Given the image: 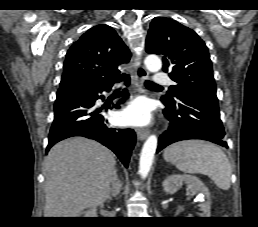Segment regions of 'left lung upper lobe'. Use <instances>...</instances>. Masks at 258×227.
<instances>
[{
	"label": "left lung upper lobe",
	"instance_id": "1",
	"mask_svg": "<svg viewBox=\"0 0 258 227\" xmlns=\"http://www.w3.org/2000/svg\"><path fill=\"white\" fill-rule=\"evenodd\" d=\"M146 51L163 56V71L176 83L162 100L175 102L174 97L191 91L216 94L208 49L193 30L175 20L156 17L150 24Z\"/></svg>",
	"mask_w": 258,
	"mask_h": 227
}]
</instances>
